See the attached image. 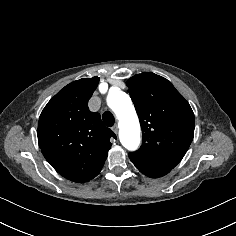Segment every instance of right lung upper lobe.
I'll list each match as a JSON object with an SVG mask.
<instances>
[{
    "label": "right lung upper lobe",
    "mask_w": 236,
    "mask_h": 236,
    "mask_svg": "<svg viewBox=\"0 0 236 236\" xmlns=\"http://www.w3.org/2000/svg\"><path fill=\"white\" fill-rule=\"evenodd\" d=\"M98 77L74 81L60 90L43 109L38 122V142L46 160L63 177L74 182L93 179L111 148L113 131L100 114L90 112L88 100Z\"/></svg>",
    "instance_id": "1"
}]
</instances>
